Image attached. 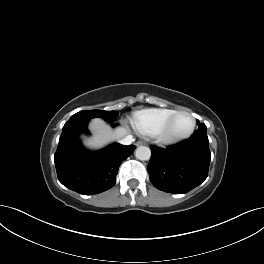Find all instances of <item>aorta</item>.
I'll use <instances>...</instances> for the list:
<instances>
[{"label":"aorta","mask_w":264,"mask_h":264,"mask_svg":"<svg viewBox=\"0 0 264 264\" xmlns=\"http://www.w3.org/2000/svg\"><path fill=\"white\" fill-rule=\"evenodd\" d=\"M135 157L139 160H149L151 157V150L146 146H139L135 151Z\"/></svg>","instance_id":"762f6f07"}]
</instances>
